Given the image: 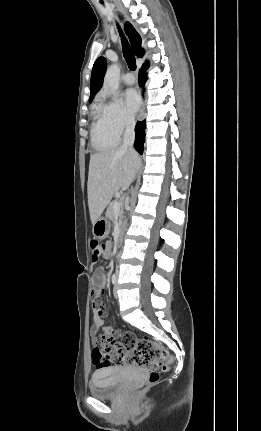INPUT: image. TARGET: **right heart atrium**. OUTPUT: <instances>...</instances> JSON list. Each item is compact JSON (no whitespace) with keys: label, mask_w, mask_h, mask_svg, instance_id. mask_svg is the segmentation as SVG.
<instances>
[{"label":"right heart atrium","mask_w":261,"mask_h":431,"mask_svg":"<svg viewBox=\"0 0 261 431\" xmlns=\"http://www.w3.org/2000/svg\"><path fill=\"white\" fill-rule=\"evenodd\" d=\"M100 107L104 113L109 128L117 135L134 126L133 117L125 111L121 103L116 99H107L102 96Z\"/></svg>","instance_id":"obj_1"}]
</instances>
